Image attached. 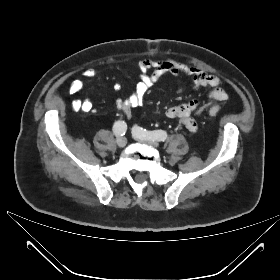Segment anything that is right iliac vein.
Wrapping results in <instances>:
<instances>
[{"mask_svg":"<svg viewBox=\"0 0 280 280\" xmlns=\"http://www.w3.org/2000/svg\"><path fill=\"white\" fill-rule=\"evenodd\" d=\"M116 142L119 148H124L127 144V139L125 137H119Z\"/></svg>","mask_w":280,"mask_h":280,"instance_id":"obj_1","label":"right iliac vein"}]
</instances>
